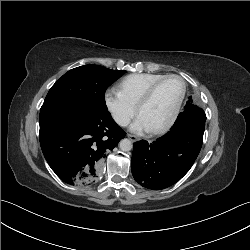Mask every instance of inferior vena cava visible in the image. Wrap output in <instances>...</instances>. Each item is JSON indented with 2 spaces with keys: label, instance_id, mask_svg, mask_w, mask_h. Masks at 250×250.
Returning <instances> with one entry per match:
<instances>
[{
  "label": "inferior vena cava",
  "instance_id": "1",
  "mask_svg": "<svg viewBox=\"0 0 250 250\" xmlns=\"http://www.w3.org/2000/svg\"><path fill=\"white\" fill-rule=\"evenodd\" d=\"M115 121L120 125V126H127L130 123V118L122 115H116L115 116Z\"/></svg>",
  "mask_w": 250,
  "mask_h": 250
}]
</instances>
